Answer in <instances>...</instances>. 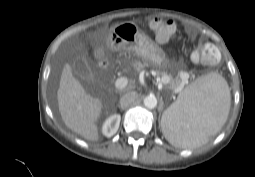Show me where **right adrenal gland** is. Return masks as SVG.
<instances>
[{"label": "right adrenal gland", "mask_w": 255, "mask_h": 177, "mask_svg": "<svg viewBox=\"0 0 255 177\" xmlns=\"http://www.w3.org/2000/svg\"><path fill=\"white\" fill-rule=\"evenodd\" d=\"M118 108H120L122 111L125 110V108L121 107L120 105H117Z\"/></svg>", "instance_id": "obj_1"}]
</instances>
